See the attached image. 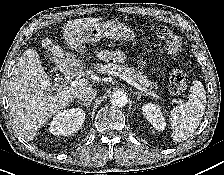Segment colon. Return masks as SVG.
Masks as SVG:
<instances>
[{"instance_id": "5ec220e1", "label": "colon", "mask_w": 224, "mask_h": 175, "mask_svg": "<svg viewBox=\"0 0 224 175\" xmlns=\"http://www.w3.org/2000/svg\"><path fill=\"white\" fill-rule=\"evenodd\" d=\"M155 34L159 39L164 41L165 49L173 59L176 60L181 58L184 51V45L181 38L178 35H176L169 27L165 25L157 26L155 28ZM168 78H169L168 88L169 92L172 95H179L186 90L187 88L186 74L182 69L180 68L171 69Z\"/></svg>"}]
</instances>
